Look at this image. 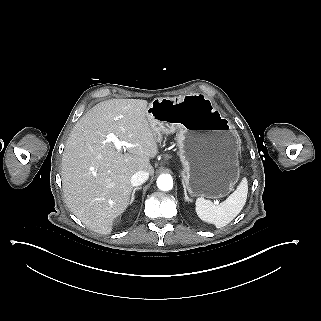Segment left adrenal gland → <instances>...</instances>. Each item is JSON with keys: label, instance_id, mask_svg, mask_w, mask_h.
I'll return each mask as SVG.
<instances>
[{"label": "left adrenal gland", "instance_id": "1", "mask_svg": "<svg viewBox=\"0 0 321 321\" xmlns=\"http://www.w3.org/2000/svg\"><path fill=\"white\" fill-rule=\"evenodd\" d=\"M184 195H185V199H186V200H189L186 191H184Z\"/></svg>", "mask_w": 321, "mask_h": 321}]
</instances>
